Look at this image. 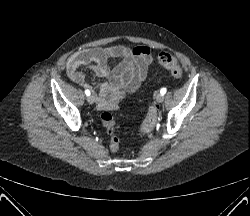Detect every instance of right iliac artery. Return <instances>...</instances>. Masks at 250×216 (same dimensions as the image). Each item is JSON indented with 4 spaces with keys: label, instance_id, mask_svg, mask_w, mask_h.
Instances as JSON below:
<instances>
[{
    "label": "right iliac artery",
    "instance_id": "obj_1",
    "mask_svg": "<svg viewBox=\"0 0 250 216\" xmlns=\"http://www.w3.org/2000/svg\"><path fill=\"white\" fill-rule=\"evenodd\" d=\"M85 94H86L87 96H89V95H90V91H89L88 89H86V90H85Z\"/></svg>",
    "mask_w": 250,
    "mask_h": 216
}]
</instances>
